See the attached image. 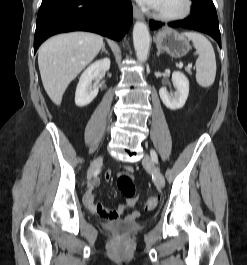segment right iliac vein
I'll return each mask as SVG.
<instances>
[{
	"instance_id": "63e3f726",
	"label": "right iliac vein",
	"mask_w": 247,
	"mask_h": 265,
	"mask_svg": "<svg viewBox=\"0 0 247 265\" xmlns=\"http://www.w3.org/2000/svg\"><path fill=\"white\" fill-rule=\"evenodd\" d=\"M102 161H103V158L98 157L92 162V164L88 170V174H87V177L89 179L95 174V171L100 167V165L102 164Z\"/></svg>"
}]
</instances>
